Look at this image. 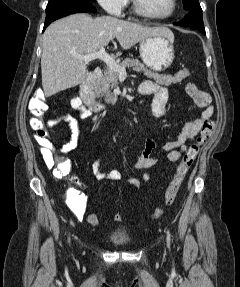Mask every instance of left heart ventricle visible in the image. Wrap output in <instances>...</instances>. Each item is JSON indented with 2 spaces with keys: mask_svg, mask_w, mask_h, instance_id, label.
Listing matches in <instances>:
<instances>
[{
  "mask_svg": "<svg viewBox=\"0 0 240 287\" xmlns=\"http://www.w3.org/2000/svg\"><path fill=\"white\" fill-rule=\"evenodd\" d=\"M142 6L154 15L166 14L171 8V0H141Z\"/></svg>",
  "mask_w": 240,
  "mask_h": 287,
  "instance_id": "b2bd125f",
  "label": "left heart ventricle"
}]
</instances>
